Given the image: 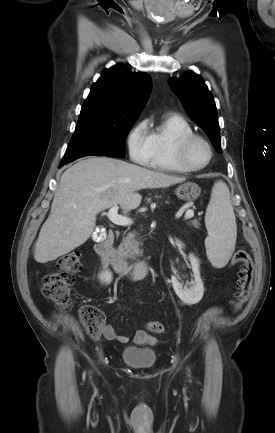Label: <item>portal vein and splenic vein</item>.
Returning a JSON list of instances; mask_svg holds the SVG:
<instances>
[{
    "instance_id": "portal-vein-and-splenic-vein-1",
    "label": "portal vein and splenic vein",
    "mask_w": 275,
    "mask_h": 433,
    "mask_svg": "<svg viewBox=\"0 0 275 433\" xmlns=\"http://www.w3.org/2000/svg\"><path fill=\"white\" fill-rule=\"evenodd\" d=\"M118 209H119V207L117 205L111 207L110 210L107 213L108 219L113 224H116V225H119V226H128V225H131L132 224V220L130 218L125 217V216L119 215L118 214ZM193 216H194L193 210H188L185 213L184 218L185 219H190Z\"/></svg>"
}]
</instances>
